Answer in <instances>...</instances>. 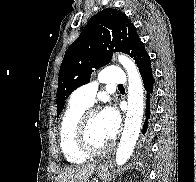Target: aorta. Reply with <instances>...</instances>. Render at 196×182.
Segmentation results:
<instances>
[{"label":"aorta","instance_id":"762f6f07","mask_svg":"<svg viewBox=\"0 0 196 182\" xmlns=\"http://www.w3.org/2000/svg\"><path fill=\"white\" fill-rule=\"evenodd\" d=\"M119 62L128 74V108L123 133L116 151V163L124 165L133 153L139 137L144 110V88L135 63L125 55Z\"/></svg>","mask_w":196,"mask_h":182}]
</instances>
